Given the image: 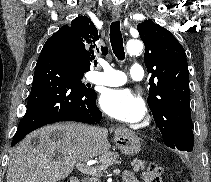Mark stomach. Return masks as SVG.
<instances>
[{"instance_id": "1", "label": "stomach", "mask_w": 211, "mask_h": 182, "mask_svg": "<svg viewBox=\"0 0 211 182\" xmlns=\"http://www.w3.org/2000/svg\"><path fill=\"white\" fill-rule=\"evenodd\" d=\"M115 145L125 155H135L140 151V139L132 132L118 131L114 136Z\"/></svg>"}]
</instances>
